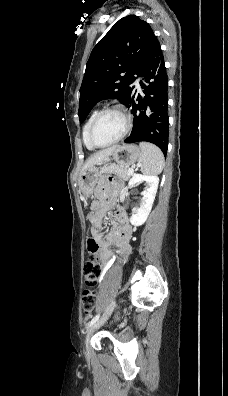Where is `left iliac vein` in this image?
Instances as JSON below:
<instances>
[{
    "instance_id": "left-iliac-vein-1",
    "label": "left iliac vein",
    "mask_w": 228,
    "mask_h": 396,
    "mask_svg": "<svg viewBox=\"0 0 228 396\" xmlns=\"http://www.w3.org/2000/svg\"><path fill=\"white\" fill-rule=\"evenodd\" d=\"M114 306H115V302H112V303L110 304V306L108 307V309L106 310V312L101 316V318H99V319L90 327V329H89V331H88V333H87L86 339H85L86 348L88 347L89 342H90V339H91L92 335L95 333V331H96L97 329H99V328L107 321V319L109 318V316L111 315V313H112V311H113ZM87 351H88V350H87Z\"/></svg>"
}]
</instances>
